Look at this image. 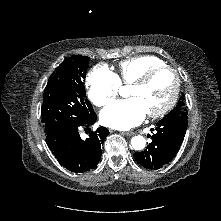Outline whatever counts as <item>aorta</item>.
Wrapping results in <instances>:
<instances>
[{
	"label": "aorta",
	"instance_id": "obj_1",
	"mask_svg": "<svg viewBox=\"0 0 221 221\" xmlns=\"http://www.w3.org/2000/svg\"><path fill=\"white\" fill-rule=\"evenodd\" d=\"M131 145L135 150H142L145 148L146 140L143 136H134L131 139Z\"/></svg>",
	"mask_w": 221,
	"mask_h": 221
}]
</instances>
